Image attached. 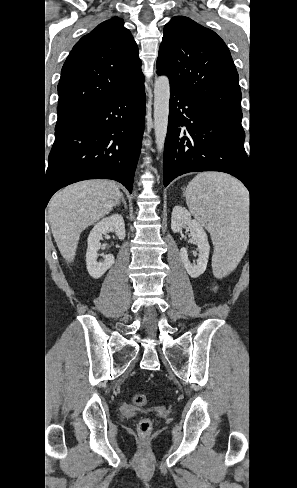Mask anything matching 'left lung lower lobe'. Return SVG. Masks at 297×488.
I'll use <instances>...</instances> for the list:
<instances>
[{
	"label": "left lung lower lobe",
	"instance_id": "1",
	"mask_svg": "<svg viewBox=\"0 0 297 488\" xmlns=\"http://www.w3.org/2000/svg\"><path fill=\"white\" fill-rule=\"evenodd\" d=\"M241 126L171 89L163 181L201 171H220L238 178L251 193V170Z\"/></svg>",
	"mask_w": 297,
	"mask_h": 488
}]
</instances>
